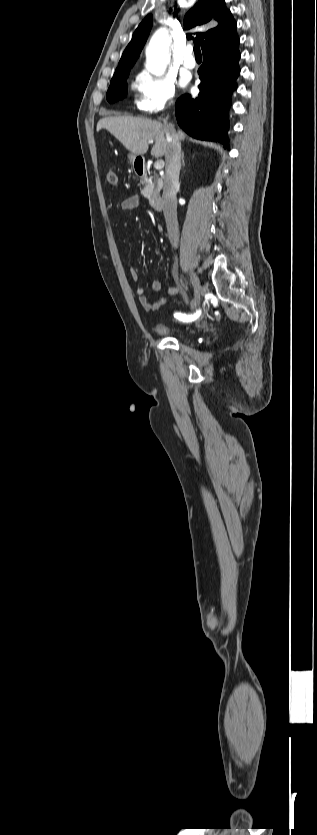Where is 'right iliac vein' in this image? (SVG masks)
I'll list each match as a JSON object with an SVG mask.
<instances>
[{
	"label": "right iliac vein",
	"instance_id": "1",
	"mask_svg": "<svg viewBox=\"0 0 317 835\" xmlns=\"http://www.w3.org/2000/svg\"><path fill=\"white\" fill-rule=\"evenodd\" d=\"M191 281L195 290L196 298L193 300L194 304H198L200 296L204 293V289L200 285L198 277L192 273Z\"/></svg>",
	"mask_w": 317,
	"mask_h": 835
}]
</instances>
